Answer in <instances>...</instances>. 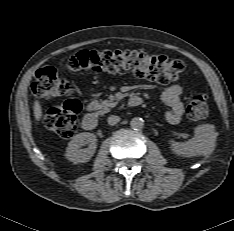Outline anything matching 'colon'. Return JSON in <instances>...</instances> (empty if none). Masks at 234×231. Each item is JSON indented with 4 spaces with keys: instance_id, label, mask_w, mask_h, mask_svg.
<instances>
[{
    "instance_id": "5ec220e1",
    "label": "colon",
    "mask_w": 234,
    "mask_h": 231,
    "mask_svg": "<svg viewBox=\"0 0 234 231\" xmlns=\"http://www.w3.org/2000/svg\"><path fill=\"white\" fill-rule=\"evenodd\" d=\"M67 69L72 72L113 74L130 71L137 77L166 84L178 79L184 70V63L179 59L150 55L140 51L85 50L68 59ZM32 92L40 98H55L72 93L73 87L69 81L59 77L55 69L44 67L36 73ZM81 109L82 105L78 100L69 99L51 108L45 115L44 124L48 130L60 137L71 138L75 135ZM187 114L193 121H200L207 117L208 106L204 94L196 93L191 97Z\"/></svg>"
}]
</instances>
